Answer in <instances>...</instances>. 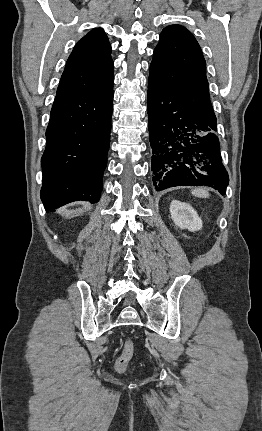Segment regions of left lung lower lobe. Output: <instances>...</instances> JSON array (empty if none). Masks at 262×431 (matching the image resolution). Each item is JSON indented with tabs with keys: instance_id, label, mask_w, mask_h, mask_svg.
I'll use <instances>...</instances> for the list:
<instances>
[{
	"instance_id": "1",
	"label": "left lung lower lobe",
	"mask_w": 262,
	"mask_h": 431,
	"mask_svg": "<svg viewBox=\"0 0 262 431\" xmlns=\"http://www.w3.org/2000/svg\"><path fill=\"white\" fill-rule=\"evenodd\" d=\"M148 120L153 184L157 191L175 186H209L226 194L228 173L222 163L216 122L188 102L148 81Z\"/></svg>"
}]
</instances>
